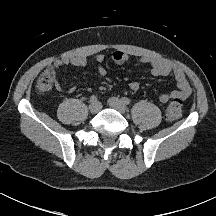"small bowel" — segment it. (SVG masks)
Instances as JSON below:
<instances>
[{"instance_id":"c3829d8e","label":"small bowel","mask_w":216,"mask_h":216,"mask_svg":"<svg viewBox=\"0 0 216 216\" xmlns=\"http://www.w3.org/2000/svg\"><path fill=\"white\" fill-rule=\"evenodd\" d=\"M108 58L116 64H124L126 63L130 56L128 53L124 51H113L108 55ZM94 62L98 66V72L100 76L106 75V70L101 66L103 61L105 60V56L103 54H97L93 57ZM139 62L143 64H147L151 67V72L154 76L157 77H167L173 76L177 89L173 90L170 93H163L159 96V101L163 104L167 103L170 99H187L191 95V88L185 76V73L181 68L174 65L170 61L155 57V56H147L143 55L139 57ZM88 60L84 56H76V57H66L57 59L52 62V64L48 67L47 70L56 71L63 66L73 65L77 67H83L87 64ZM56 87L59 91H72V88H65L59 82H56ZM129 88L132 91H138L140 88V84L137 81H131L129 83Z\"/></svg>"}]
</instances>
